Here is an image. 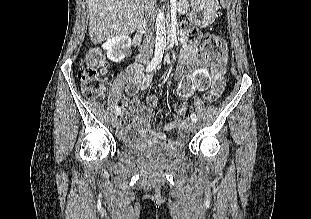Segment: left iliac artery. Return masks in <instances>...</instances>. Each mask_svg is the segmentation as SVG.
I'll return each mask as SVG.
<instances>
[{"label":"left iliac artery","instance_id":"1","mask_svg":"<svg viewBox=\"0 0 311 219\" xmlns=\"http://www.w3.org/2000/svg\"><path fill=\"white\" fill-rule=\"evenodd\" d=\"M190 117H191L192 121H194V122L197 121V116L194 113H192Z\"/></svg>","mask_w":311,"mask_h":219}]
</instances>
